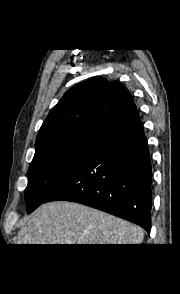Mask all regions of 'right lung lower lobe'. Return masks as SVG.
Instances as JSON below:
<instances>
[{"label":"right lung lower lobe","mask_w":180,"mask_h":294,"mask_svg":"<svg viewBox=\"0 0 180 294\" xmlns=\"http://www.w3.org/2000/svg\"><path fill=\"white\" fill-rule=\"evenodd\" d=\"M151 161L139 114L104 136L46 202L85 204L151 229Z\"/></svg>","instance_id":"98d812e1"}]
</instances>
